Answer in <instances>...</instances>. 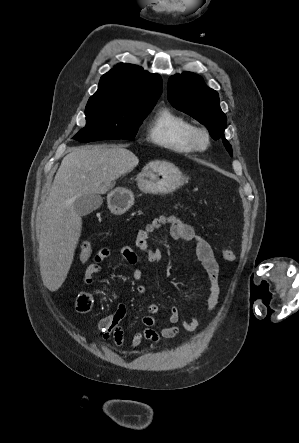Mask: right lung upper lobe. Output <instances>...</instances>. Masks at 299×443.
Returning a JSON list of instances; mask_svg holds the SVG:
<instances>
[{"label":"right lung upper lobe","mask_w":299,"mask_h":443,"mask_svg":"<svg viewBox=\"0 0 299 443\" xmlns=\"http://www.w3.org/2000/svg\"><path fill=\"white\" fill-rule=\"evenodd\" d=\"M161 93L160 75L133 64L121 63L101 77L99 88L90 99L156 103Z\"/></svg>","instance_id":"right-lung-upper-lobe-1"}]
</instances>
